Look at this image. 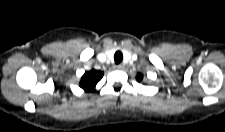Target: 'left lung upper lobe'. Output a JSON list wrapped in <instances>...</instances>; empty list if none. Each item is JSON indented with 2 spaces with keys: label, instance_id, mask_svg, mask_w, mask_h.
<instances>
[{
  "label": "left lung upper lobe",
  "instance_id": "left-lung-upper-lobe-1",
  "mask_svg": "<svg viewBox=\"0 0 225 132\" xmlns=\"http://www.w3.org/2000/svg\"><path fill=\"white\" fill-rule=\"evenodd\" d=\"M142 79H143V75L141 73H138L137 80L140 82L142 81Z\"/></svg>",
  "mask_w": 225,
  "mask_h": 132
}]
</instances>
